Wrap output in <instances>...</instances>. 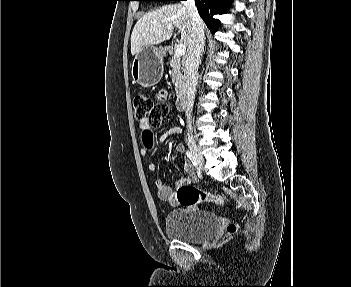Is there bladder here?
<instances>
[{
    "instance_id": "bladder-1",
    "label": "bladder",
    "mask_w": 351,
    "mask_h": 287,
    "mask_svg": "<svg viewBox=\"0 0 351 287\" xmlns=\"http://www.w3.org/2000/svg\"><path fill=\"white\" fill-rule=\"evenodd\" d=\"M218 227V217L208 210L176 209L170 211L165 219L168 237L191 243L212 238Z\"/></svg>"
}]
</instances>
